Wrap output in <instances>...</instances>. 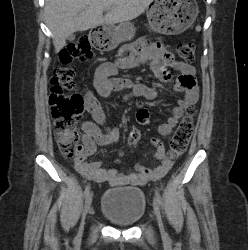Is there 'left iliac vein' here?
<instances>
[{
    "label": "left iliac vein",
    "instance_id": "4c4485c4",
    "mask_svg": "<svg viewBox=\"0 0 248 250\" xmlns=\"http://www.w3.org/2000/svg\"><path fill=\"white\" fill-rule=\"evenodd\" d=\"M154 214L156 216L160 229H163L162 216H161V212L157 203H154Z\"/></svg>",
    "mask_w": 248,
    "mask_h": 250
}]
</instances>
